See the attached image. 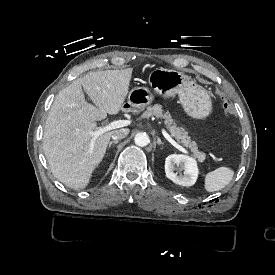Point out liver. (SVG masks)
Masks as SVG:
<instances>
[{
	"instance_id": "1",
	"label": "liver",
	"mask_w": 275,
	"mask_h": 275,
	"mask_svg": "<svg viewBox=\"0 0 275 275\" xmlns=\"http://www.w3.org/2000/svg\"><path fill=\"white\" fill-rule=\"evenodd\" d=\"M133 69L87 73L56 96L46 120L43 149L53 175L72 189L86 188L106 154L115 131L97 138L84 133L95 131L97 121L123 109ZM86 91L94 107L85 100Z\"/></svg>"
}]
</instances>
